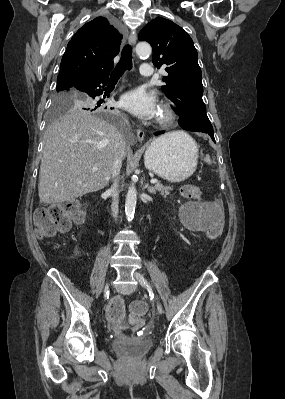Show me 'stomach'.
I'll list each match as a JSON object with an SVG mask.
<instances>
[{"label": "stomach", "instance_id": "stomach-1", "mask_svg": "<svg viewBox=\"0 0 285 399\" xmlns=\"http://www.w3.org/2000/svg\"><path fill=\"white\" fill-rule=\"evenodd\" d=\"M197 157L195 141L182 132L179 137L162 136L154 140L146 149L144 160L146 168L159 177L170 182H180L193 174Z\"/></svg>", "mask_w": 285, "mask_h": 399}]
</instances>
